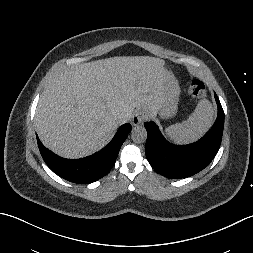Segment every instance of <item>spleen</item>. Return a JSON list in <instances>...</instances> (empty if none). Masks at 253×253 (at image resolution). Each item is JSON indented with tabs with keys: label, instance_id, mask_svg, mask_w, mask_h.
I'll return each mask as SVG.
<instances>
[{
	"label": "spleen",
	"instance_id": "spleen-1",
	"mask_svg": "<svg viewBox=\"0 0 253 253\" xmlns=\"http://www.w3.org/2000/svg\"><path fill=\"white\" fill-rule=\"evenodd\" d=\"M214 108L206 100H201L194 112L182 123H176L165 129V134L176 144H189L200 139L212 126Z\"/></svg>",
	"mask_w": 253,
	"mask_h": 253
}]
</instances>
